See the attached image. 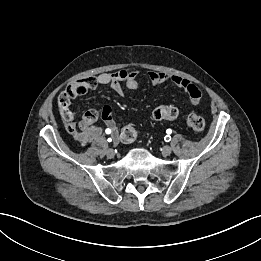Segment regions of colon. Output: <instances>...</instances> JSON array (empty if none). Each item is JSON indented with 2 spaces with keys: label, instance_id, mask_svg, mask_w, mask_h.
<instances>
[{
  "label": "colon",
  "instance_id": "colon-1",
  "mask_svg": "<svg viewBox=\"0 0 261 261\" xmlns=\"http://www.w3.org/2000/svg\"><path fill=\"white\" fill-rule=\"evenodd\" d=\"M91 78L80 80L70 84L65 91H63L59 98L58 104L61 110L64 112L65 119L67 121V127L70 131L75 129V125L73 123V113L69 109L70 101L73 98H76L83 93H85L86 87L91 83ZM152 116L155 120H168L172 121L177 119L178 110L172 106H159L154 109ZM98 117L102 118L101 109L100 110H90L88 112L89 120H96ZM187 125L194 131H202L205 128V120L198 114L192 113L189 114L186 118ZM85 125L84 122H81L80 127L83 128ZM138 136V131L132 125H126L122 128L120 133V139L124 143H132L136 140Z\"/></svg>",
  "mask_w": 261,
  "mask_h": 261
}]
</instances>
